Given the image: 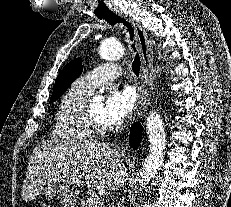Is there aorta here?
Returning a JSON list of instances; mask_svg holds the SVG:
<instances>
[{"mask_svg": "<svg viewBox=\"0 0 231 207\" xmlns=\"http://www.w3.org/2000/svg\"><path fill=\"white\" fill-rule=\"evenodd\" d=\"M125 47L122 43L114 40H104L99 48L101 58L105 60H118L125 55ZM101 97H95L100 100ZM147 134L151 144V151L144 161L140 170L138 185L144 188L159 172L164 161L165 132L160 114L151 112L146 122ZM139 202H134V207H140Z\"/></svg>", "mask_w": 231, "mask_h": 207, "instance_id": "1", "label": "aorta"}]
</instances>
